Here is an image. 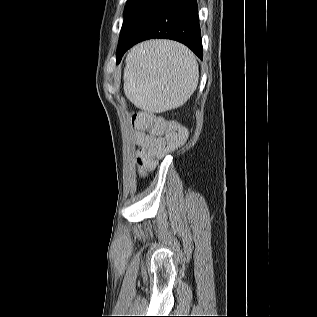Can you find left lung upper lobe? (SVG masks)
Segmentation results:
<instances>
[{
    "mask_svg": "<svg viewBox=\"0 0 317 317\" xmlns=\"http://www.w3.org/2000/svg\"><path fill=\"white\" fill-rule=\"evenodd\" d=\"M166 0H128L119 45L130 41Z\"/></svg>",
    "mask_w": 317,
    "mask_h": 317,
    "instance_id": "left-lung-upper-lobe-1",
    "label": "left lung upper lobe"
}]
</instances>
